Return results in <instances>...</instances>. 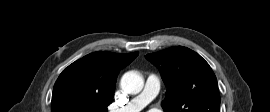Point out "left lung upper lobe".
<instances>
[{
  "instance_id": "5c2ea615",
  "label": "left lung upper lobe",
  "mask_w": 270,
  "mask_h": 112,
  "mask_svg": "<svg viewBox=\"0 0 270 112\" xmlns=\"http://www.w3.org/2000/svg\"><path fill=\"white\" fill-rule=\"evenodd\" d=\"M146 58L158 68L167 86L164 112H219L217 79L199 54L178 46Z\"/></svg>"
}]
</instances>
